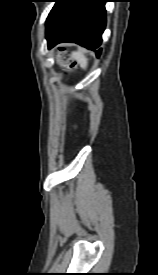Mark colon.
<instances>
[{"label": "colon", "instance_id": "1", "mask_svg": "<svg viewBox=\"0 0 158 275\" xmlns=\"http://www.w3.org/2000/svg\"><path fill=\"white\" fill-rule=\"evenodd\" d=\"M58 58H59V61L62 65L68 66L69 61H70V57L64 51H61L59 53Z\"/></svg>", "mask_w": 158, "mask_h": 275}]
</instances>
